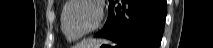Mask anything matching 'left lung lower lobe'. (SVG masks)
<instances>
[{
	"mask_svg": "<svg viewBox=\"0 0 213 48\" xmlns=\"http://www.w3.org/2000/svg\"><path fill=\"white\" fill-rule=\"evenodd\" d=\"M106 24L95 37L122 48H159L166 17V0H109Z\"/></svg>",
	"mask_w": 213,
	"mask_h": 48,
	"instance_id": "1",
	"label": "left lung lower lobe"
}]
</instances>
